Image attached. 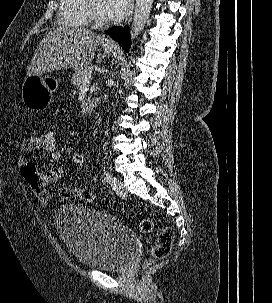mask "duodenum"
<instances>
[{"label": "duodenum", "mask_w": 272, "mask_h": 303, "mask_svg": "<svg viewBox=\"0 0 272 303\" xmlns=\"http://www.w3.org/2000/svg\"><path fill=\"white\" fill-rule=\"evenodd\" d=\"M98 104H99V100H98V99H93V100H91V101L86 105V107H85V112H86L87 114H90V113L94 112L95 109L97 108Z\"/></svg>", "instance_id": "duodenum-1"}]
</instances>
